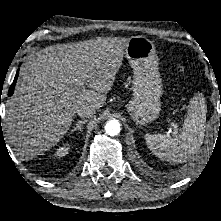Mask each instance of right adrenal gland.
<instances>
[{"mask_svg":"<svg viewBox=\"0 0 221 221\" xmlns=\"http://www.w3.org/2000/svg\"><path fill=\"white\" fill-rule=\"evenodd\" d=\"M85 122H86V120H78L76 125L73 126V129L71 130V132H74L76 130H79L82 132L83 131L82 126H83V124H85Z\"/></svg>","mask_w":221,"mask_h":221,"instance_id":"1","label":"right adrenal gland"}]
</instances>
